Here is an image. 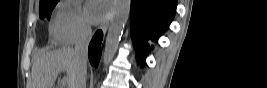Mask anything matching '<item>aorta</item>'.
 Masks as SVG:
<instances>
[{
	"label": "aorta",
	"mask_w": 267,
	"mask_h": 88,
	"mask_svg": "<svg viewBox=\"0 0 267 88\" xmlns=\"http://www.w3.org/2000/svg\"><path fill=\"white\" fill-rule=\"evenodd\" d=\"M130 4V0H116L114 3L113 17L108 28L103 53V64L105 69H107L117 52L121 35L129 16Z\"/></svg>",
	"instance_id": "1"
}]
</instances>
